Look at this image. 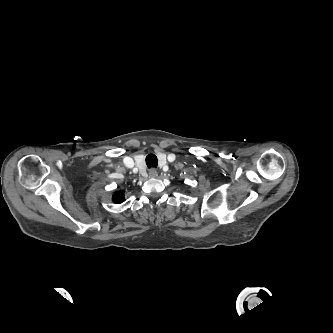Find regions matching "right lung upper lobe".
<instances>
[{
  "mask_svg": "<svg viewBox=\"0 0 333 333\" xmlns=\"http://www.w3.org/2000/svg\"><path fill=\"white\" fill-rule=\"evenodd\" d=\"M125 201L124 193L123 192H117L113 195V202L115 203H122Z\"/></svg>",
  "mask_w": 333,
  "mask_h": 333,
  "instance_id": "right-lung-upper-lobe-1",
  "label": "right lung upper lobe"
}]
</instances>
